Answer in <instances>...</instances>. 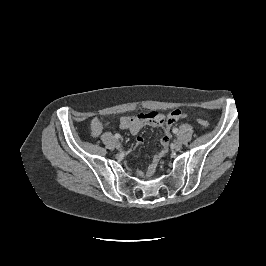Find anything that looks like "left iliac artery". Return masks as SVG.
<instances>
[{
    "instance_id": "44dca946",
    "label": "left iliac artery",
    "mask_w": 266,
    "mask_h": 266,
    "mask_svg": "<svg viewBox=\"0 0 266 266\" xmlns=\"http://www.w3.org/2000/svg\"><path fill=\"white\" fill-rule=\"evenodd\" d=\"M172 131H173L174 134H177L178 133V129L177 128H173Z\"/></svg>"
}]
</instances>
